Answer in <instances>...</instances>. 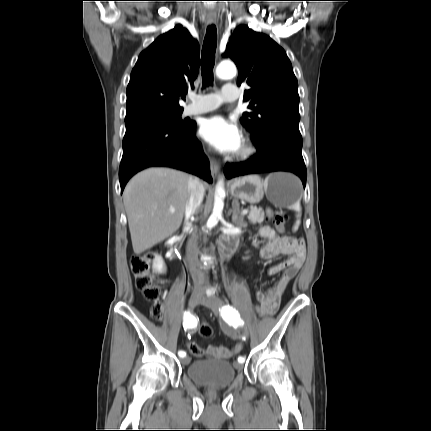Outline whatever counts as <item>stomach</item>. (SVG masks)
Returning a JSON list of instances; mask_svg holds the SVG:
<instances>
[{
    "instance_id": "0dacf381",
    "label": "stomach",
    "mask_w": 431,
    "mask_h": 431,
    "mask_svg": "<svg viewBox=\"0 0 431 431\" xmlns=\"http://www.w3.org/2000/svg\"><path fill=\"white\" fill-rule=\"evenodd\" d=\"M230 192L250 204L259 203L266 194L273 205L289 208L300 200L301 185L299 179L289 173H273L264 183L259 176L248 175L231 181Z\"/></svg>"
}]
</instances>
